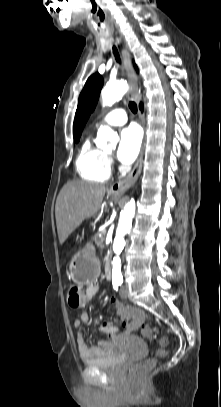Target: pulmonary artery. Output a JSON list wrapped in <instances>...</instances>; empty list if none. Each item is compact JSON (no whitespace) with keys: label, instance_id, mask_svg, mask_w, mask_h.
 Listing matches in <instances>:
<instances>
[{"label":"pulmonary artery","instance_id":"1","mask_svg":"<svg viewBox=\"0 0 221 407\" xmlns=\"http://www.w3.org/2000/svg\"><path fill=\"white\" fill-rule=\"evenodd\" d=\"M127 122L126 111L122 108H116L106 114L100 121L95 125L96 128L103 124L110 126H121Z\"/></svg>","mask_w":221,"mask_h":407}]
</instances>
